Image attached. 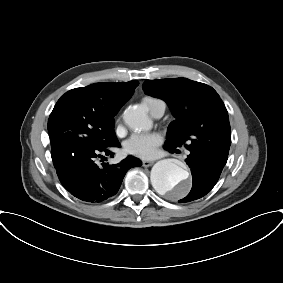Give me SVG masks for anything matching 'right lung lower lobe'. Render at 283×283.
I'll return each mask as SVG.
<instances>
[{"mask_svg": "<svg viewBox=\"0 0 283 283\" xmlns=\"http://www.w3.org/2000/svg\"><path fill=\"white\" fill-rule=\"evenodd\" d=\"M119 146V142L107 148L83 146L72 153L51 155L60 182L82 201L98 203L112 197L118 192L126 172L142 164L133 156L115 165L97 163L98 158L110 155L111 148Z\"/></svg>", "mask_w": 283, "mask_h": 283, "instance_id": "right-lung-lower-lobe-1", "label": "right lung lower lobe"}]
</instances>
